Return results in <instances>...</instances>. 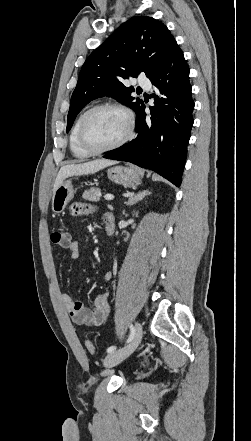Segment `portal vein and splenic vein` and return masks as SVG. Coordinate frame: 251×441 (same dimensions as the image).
Returning a JSON list of instances; mask_svg holds the SVG:
<instances>
[{"label":"portal vein and splenic vein","mask_w":251,"mask_h":441,"mask_svg":"<svg viewBox=\"0 0 251 441\" xmlns=\"http://www.w3.org/2000/svg\"><path fill=\"white\" fill-rule=\"evenodd\" d=\"M104 199L107 200V201H111V200L114 199V196L111 195V194H106V195L104 196Z\"/></svg>","instance_id":"1"}]
</instances>
